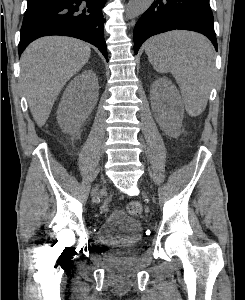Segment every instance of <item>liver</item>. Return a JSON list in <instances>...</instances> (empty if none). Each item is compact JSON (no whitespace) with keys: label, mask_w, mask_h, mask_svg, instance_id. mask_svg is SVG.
Listing matches in <instances>:
<instances>
[{"label":"liver","mask_w":245,"mask_h":300,"mask_svg":"<svg viewBox=\"0 0 245 300\" xmlns=\"http://www.w3.org/2000/svg\"><path fill=\"white\" fill-rule=\"evenodd\" d=\"M90 54L87 43L61 36L40 38L26 48L20 80L39 127L46 123L64 85L88 62Z\"/></svg>","instance_id":"1"}]
</instances>
